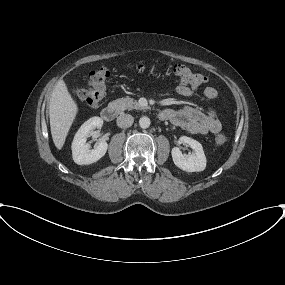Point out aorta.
Wrapping results in <instances>:
<instances>
[{"instance_id": "aorta-1", "label": "aorta", "mask_w": 285, "mask_h": 285, "mask_svg": "<svg viewBox=\"0 0 285 285\" xmlns=\"http://www.w3.org/2000/svg\"><path fill=\"white\" fill-rule=\"evenodd\" d=\"M150 123H151L150 119L148 117H146V116L141 117L140 120H139V125L143 129L148 128L150 126Z\"/></svg>"}]
</instances>
